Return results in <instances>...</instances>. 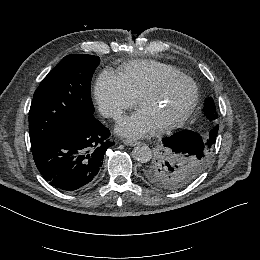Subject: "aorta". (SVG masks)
<instances>
[{
	"instance_id": "obj_1",
	"label": "aorta",
	"mask_w": 260,
	"mask_h": 260,
	"mask_svg": "<svg viewBox=\"0 0 260 260\" xmlns=\"http://www.w3.org/2000/svg\"><path fill=\"white\" fill-rule=\"evenodd\" d=\"M132 154L133 157L141 163H146L152 157L151 149L147 145L136 146Z\"/></svg>"
}]
</instances>
